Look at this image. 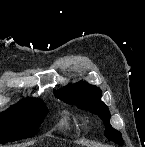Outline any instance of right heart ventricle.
<instances>
[{
    "mask_svg": "<svg viewBox=\"0 0 145 147\" xmlns=\"http://www.w3.org/2000/svg\"><path fill=\"white\" fill-rule=\"evenodd\" d=\"M65 124H66V122L63 120V121L61 122V126L63 127V126H65Z\"/></svg>",
    "mask_w": 145,
    "mask_h": 147,
    "instance_id": "right-heart-ventricle-1",
    "label": "right heart ventricle"
}]
</instances>
